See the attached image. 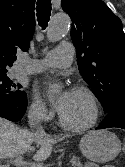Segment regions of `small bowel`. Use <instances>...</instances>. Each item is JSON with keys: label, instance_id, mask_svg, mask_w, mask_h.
I'll list each match as a JSON object with an SVG mask.
<instances>
[{"label": "small bowel", "instance_id": "1", "mask_svg": "<svg viewBox=\"0 0 125 167\" xmlns=\"http://www.w3.org/2000/svg\"><path fill=\"white\" fill-rule=\"evenodd\" d=\"M104 167H114V166H112V165H107V166H104Z\"/></svg>", "mask_w": 125, "mask_h": 167}]
</instances>
